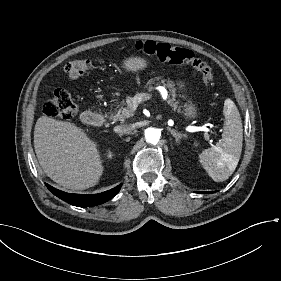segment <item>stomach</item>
<instances>
[{"mask_svg": "<svg viewBox=\"0 0 281 281\" xmlns=\"http://www.w3.org/2000/svg\"><path fill=\"white\" fill-rule=\"evenodd\" d=\"M122 66L127 71L137 72L139 70H144L147 67V62L145 59H143L141 57H129V58L124 59ZM179 86L182 89L184 87V84L182 82H179ZM186 115L188 117H191L193 115L196 116L195 106L193 104H189L187 106Z\"/></svg>", "mask_w": 281, "mask_h": 281, "instance_id": "0dacf381", "label": "stomach"}]
</instances>
